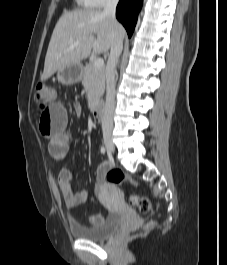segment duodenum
Segmentation results:
<instances>
[{
  "label": "duodenum",
  "instance_id": "410a0bca",
  "mask_svg": "<svg viewBox=\"0 0 227 265\" xmlns=\"http://www.w3.org/2000/svg\"><path fill=\"white\" fill-rule=\"evenodd\" d=\"M92 115L97 121H101L104 118V106L101 103L94 104Z\"/></svg>",
  "mask_w": 227,
  "mask_h": 265
}]
</instances>
